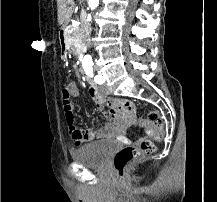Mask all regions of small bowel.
<instances>
[{
	"instance_id": "1",
	"label": "small bowel",
	"mask_w": 217,
	"mask_h": 202,
	"mask_svg": "<svg viewBox=\"0 0 217 202\" xmlns=\"http://www.w3.org/2000/svg\"><path fill=\"white\" fill-rule=\"evenodd\" d=\"M80 94L78 85L72 83L70 89L71 97L79 98ZM89 94L95 101L96 107L103 110L106 98L100 89L96 85L90 84ZM106 108V117L109 122L103 127L99 129H80L74 127L72 135L69 137V140L73 141V147H82L83 144L101 139H114L119 143L127 145L139 144V141H132L125 135L128 126H133L132 122L138 116L135 113L136 105L134 101H106ZM144 131L145 138L154 136V128H144Z\"/></svg>"
}]
</instances>
